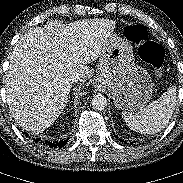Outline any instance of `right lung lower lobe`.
Instances as JSON below:
<instances>
[{
  "mask_svg": "<svg viewBox=\"0 0 183 183\" xmlns=\"http://www.w3.org/2000/svg\"><path fill=\"white\" fill-rule=\"evenodd\" d=\"M26 136H28L27 134H26ZM34 141L37 143V142H39L40 141V139L39 138H37V139H34ZM68 142V139H66V140H61V141H55V142H51V141H45V142H43V145H47V146H49V147H63V146H65L66 145V143ZM39 143H42V142H39Z\"/></svg>",
  "mask_w": 183,
  "mask_h": 183,
  "instance_id": "obj_1",
  "label": "right lung lower lobe"
}]
</instances>
